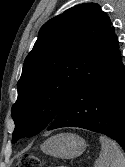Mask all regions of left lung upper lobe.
I'll use <instances>...</instances> for the list:
<instances>
[{
    "label": "left lung upper lobe",
    "mask_w": 125,
    "mask_h": 167,
    "mask_svg": "<svg viewBox=\"0 0 125 167\" xmlns=\"http://www.w3.org/2000/svg\"><path fill=\"white\" fill-rule=\"evenodd\" d=\"M110 27L108 15L96 3L74 6L42 26L17 83L12 143L51 124L89 73Z\"/></svg>",
    "instance_id": "left-lung-upper-lobe-1"
}]
</instances>
